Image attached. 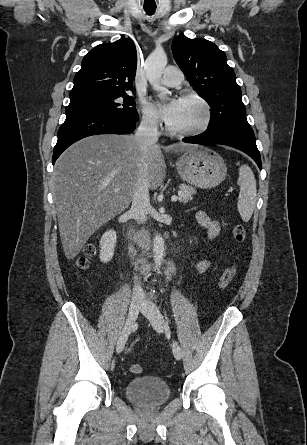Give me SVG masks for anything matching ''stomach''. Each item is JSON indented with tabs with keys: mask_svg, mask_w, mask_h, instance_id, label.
<instances>
[{
	"mask_svg": "<svg viewBox=\"0 0 307 445\" xmlns=\"http://www.w3.org/2000/svg\"><path fill=\"white\" fill-rule=\"evenodd\" d=\"M176 168L183 180L199 188L218 186L227 172L222 156L207 146L188 148L177 160Z\"/></svg>",
	"mask_w": 307,
	"mask_h": 445,
	"instance_id": "0dacf381",
	"label": "stomach"
}]
</instances>
